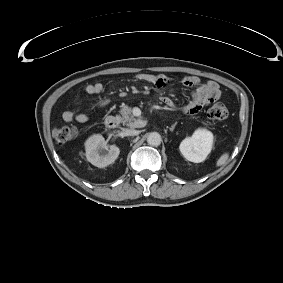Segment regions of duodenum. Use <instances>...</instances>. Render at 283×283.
Listing matches in <instances>:
<instances>
[{
  "instance_id": "obj_1",
  "label": "duodenum",
  "mask_w": 283,
  "mask_h": 283,
  "mask_svg": "<svg viewBox=\"0 0 283 283\" xmlns=\"http://www.w3.org/2000/svg\"><path fill=\"white\" fill-rule=\"evenodd\" d=\"M104 123H105L106 128L114 129V128H116L118 126L119 120L115 116H108V117H106Z\"/></svg>"
}]
</instances>
